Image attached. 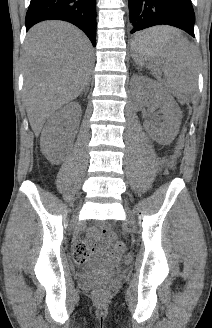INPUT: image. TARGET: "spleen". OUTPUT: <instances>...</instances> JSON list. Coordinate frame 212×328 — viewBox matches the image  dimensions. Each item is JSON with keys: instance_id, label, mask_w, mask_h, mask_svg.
<instances>
[{"instance_id": "obj_1", "label": "spleen", "mask_w": 212, "mask_h": 328, "mask_svg": "<svg viewBox=\"0 0 212 328\" xmlns=\"http://www.w3.org/2000/svg\"><path fill=\"white\" fill-rule=\"evenodd\" d=\"M135 39L141 45L137 51L156 50L166 59L162 71L166 84L174 95L191 94L197 85L194 48L181 33L170 27H153L139 32ZM160 61L154 70L159 71Z\"/></svg>"}]
</instances>
